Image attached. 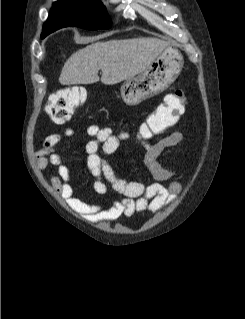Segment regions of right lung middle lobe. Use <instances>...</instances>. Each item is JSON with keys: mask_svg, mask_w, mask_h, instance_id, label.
Returning <instances> with one entry per match:
<instances>
[{"mask_svg": "<svg viewBox=\"0 0 245 319\" xmlns=\"http://www.w3.org/2000/svg\"><path fill=\"white\" fill-rule=\"evenodd\" d=\"M49 18L54 23L43 33H50L67 26H78L89 30L107 29L111 20L100 0H65L53 4Z\"/></svg>", "mask_w": 245, "mask_h": 319, "instance_id": "obj_1", "label": "right lung middle lobe"}]
</instances>
